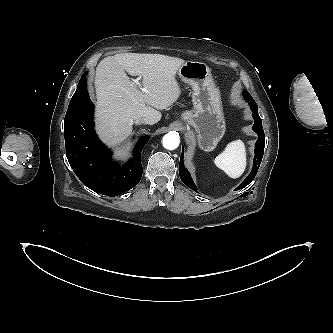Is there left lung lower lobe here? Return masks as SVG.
<instances>
[{
    "label": "left lung lower lobe",
    "instance_id": "1",
    "mask_svg": "<svg viewBox=\"0 0 333 333\" xmlns=\"http://www.w3.org/2000/svg\"><path fill=\"white\" fill-rule=\"evenodd\" d=\"M243 96H244L245 100L249 103V105L253 111V118L255 120V123L253 125V130L256 133H258L259 138L255 145V158H254V164H253L252 171L249 174V176L236 188V190L244 188L254 179V177L257 173V169L260 166V163H261V160L263 157L264 140H265L264 131L262 128V121L258 114V106L247 91H243ZM179 174H180L181 180L185 183L186 186H188L189 188H191L195 191L197 190L189 172L185 169V167L183 165V148H182V154H181V158H180Z\"/></svg>",
    "mask_w": 333,
    "mask_h": 333
}]
</instances>
